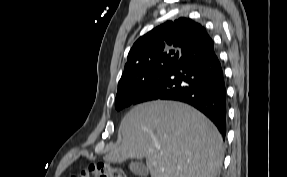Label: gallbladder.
<instances>
[{
  "label": "gallbladder",
  "mask_w": 287,
  "mask_h": 177,
  "mask_svg": "<svg viewBox=\"0 0 287 177\" xmlns=\"http://www.w3.org/2000/svg\"><path fill=\"white\" fill-rule=\"evenodd\" d=\"M130 171L138 176H146L148 175V169L141 161H132L129 164Z\"/></svg>",
  "instance_id": "bac80fb5"
}]
</instances>
